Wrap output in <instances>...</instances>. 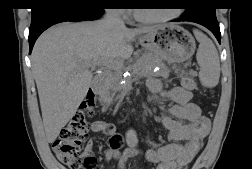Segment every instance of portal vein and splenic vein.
Listing matches in <instances>:
<instances>
[{
    "mask_svg": "<svg viewBox=\"0 0 252 169\" xmlns=\"http://www.w3.org/2000/svg\"><path fill=\"white\" fill-rule=\"evenodd\" d=\"M95 65H104L113 70H119L122 68V64L114 59H106L96 62Z\"/></svg>",
    "mask_w": 252,
    "mask_h": 169,
    "instance_id": "portal-vein-and-splenic-vein-1",
    "label": "portal vein and splenic vein"
}]
</instances>
